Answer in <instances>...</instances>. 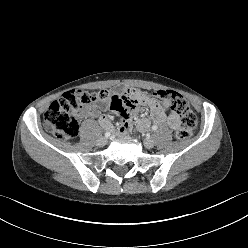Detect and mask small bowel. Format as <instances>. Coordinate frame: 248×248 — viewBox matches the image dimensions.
I'll list each match as a JSON object with an SVG mask.
<instances>
[{"instance_id":"small-bowel-1","label":"small bowel","mask_w":248,"mask_h":248,"mask_svg":"<svg viewBox=\"0 0 248 248\" xmlns=\"http://www.w3.org/2000/svg\"><path fill=\"white\" fill-rule=\"evenodd\" d=\"M145 99L141 91L134 88H127L126 84L119 83L109 93V97L99 101V103L81 113L82 116L98 118L101 126L112 131L114 126L107 115H101V111L110 108L113 112L120 114L122 121L118 127L119 132H125L130 125V121L137 114L138 103ZM150 117L142 118L138 121V128L141 131L149 129L151 124H167L171 129L178 130L181 127L180 118L174 113H168V103L158 102L149 99Z\"/></svg>"}]
</instances>
